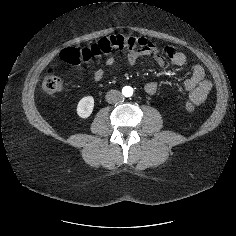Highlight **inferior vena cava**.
<instances>
[{
  "mask_svg": "<svg viewBox=\"0 0 236 236\" xmlns=\"http://www.w3.org/2000/svg\"><path fill=\"white\" fill-rule=\"evenodd\" d=\"M106 101L108 103H117L120 102L123 98V95L120 91L118 90H110L106 94Z\"/></svg>",
  "mask_w": 236,
  "mask_h": 236,
  "instance_id": "602c4592",
  "label": "inferior vena cava"
}]
</instances>
